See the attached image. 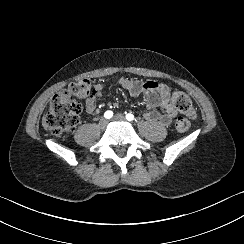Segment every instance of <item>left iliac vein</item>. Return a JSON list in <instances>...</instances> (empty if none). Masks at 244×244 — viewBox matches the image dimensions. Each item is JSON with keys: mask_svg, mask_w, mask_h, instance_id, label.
I'll list each match as a JSON object with an SVG mask.
<instances>
[{"mask_svg": "<svg viewBox=\"0 0 244 244\" xmlns=\"http://www.w3.org/2000/svg\"><path fill=\"white\" fill-rule=\"evenodd\" d=\"M113 120H114V121L124 122L126 119H125V117H124L122 114H116V115L113 117Z\"/></svg>", "mask_w": 244, "mask_h": 244, "instance_id": "left-iliac-vein-1", "label": "left iliac vein"}]
</instances>
